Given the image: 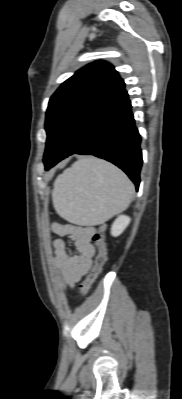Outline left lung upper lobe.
<instances>
[{
  "label": "left lung upper lobe",
  "mask_w": 182,
  "mask_h": 399,
  "mask_svg": "<svg viewBox=\"0 0 182 399\" xmlns=\"http://www.w3.org/2000/svg\"><path fill=\"white\" fill-rule=\"evenodd\" d=\"M125 87L114 67L97 61L78 70L50 98L44 163L56 159L84 121Z\"/></svg>",
  "instance_id": "1"
}]
</instances>
